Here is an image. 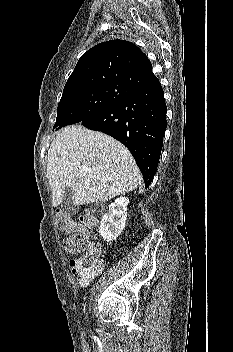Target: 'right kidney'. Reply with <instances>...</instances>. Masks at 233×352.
<instances>
[{"label":"right kidney","instance_id":"obj_1","mask_svg":"<svg viewBox=\"0 0 233 352\" xmlns=\"http://www.w3.org/2000/svg\"><path fill=\"white\" fill-rule=\"evenodd\" d=\"M128 203L129 199L126 197L117 198L101 219L99 233L107 242L115 240L124 229Z\"/></svg>","mask_w":233,"mask_h":352}]
</instances>
